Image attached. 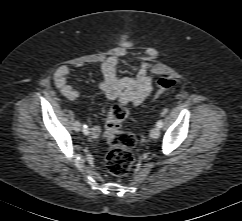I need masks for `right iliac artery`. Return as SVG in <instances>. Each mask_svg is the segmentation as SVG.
Segmentation results:
<instances>
[{"instance_id": "obj_1", "label": "right iliac artery", "mask_w": 242, "mask_h": 221, "mask_svg": "<svg viewBox=\"0 0 242 221\" xmlns=\"http://www.w3.org/2000/svg\"><path fill=\"white\" fill-rule=\"evenodd\" d=\"M83 133H84L85 135H88V134H89V130H88V127H87L86 124H83Z\"/></svg>"}]
</instances>
